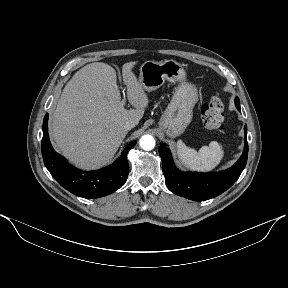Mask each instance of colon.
I'll use <instances>...</instances> for the list:
<instances>
[{"label": "colon", "instance_id": "colon-1", "mask_svg": "<svg viewBox=\"0 0 288 288\" xmlns=\"http://www.w3.org/2000/svg\"><path fill=\"white\" fill-rule=\"evenodd\" d=\"M224 104L218 96H213L201 108V117L204 127L214 133L221 132L224 128Z\"/></svg>", "mask_w": 288, "mask_h": 288}]
</instances>
